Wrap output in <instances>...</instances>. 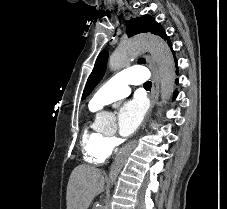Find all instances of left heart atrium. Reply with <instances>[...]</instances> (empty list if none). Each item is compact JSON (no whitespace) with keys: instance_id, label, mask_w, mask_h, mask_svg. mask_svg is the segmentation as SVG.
<instances>
[{"instance_id":"39dd6f15","label":"left heart atrium","mask_w":227,"mask_h":209,"mask_svg":"<svg viewBox=\"0 0 227 209\" xmlns=\"http://www.w3.org/2000/svg\"><path fill=\"white\" fill-rule=\"evenodd\" d=\"M145 112V106L138 99L125 101L119 110V132L123 136L132 135L138 128Z\"/></svg>"}]
</instances>
